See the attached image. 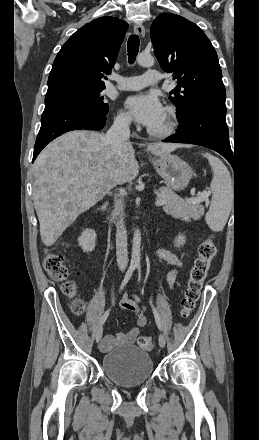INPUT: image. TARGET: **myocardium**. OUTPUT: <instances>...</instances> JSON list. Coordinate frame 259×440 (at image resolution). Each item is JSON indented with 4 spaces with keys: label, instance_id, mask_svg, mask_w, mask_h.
I'll return each instance as SVG.
<instances>
[{
    "label": "myocardium",
    "instance_id": "obj_1",
    "mask_svg": "<svg viewBox=\"0 0 259 440\" xmlns=\"http://www.w3.org/2000/svg\"><path fill=\"white\" fill-rule=\"evenodd\" d=\"M165 116V124L160 129H148V133L157 138H165L170 135H172L176 129L177 123H176V113L174 108L172 107H166L164 111Z\"/></svg>",
    "mask_w": 259,
    "mask_h": 440
}]
</instances>
